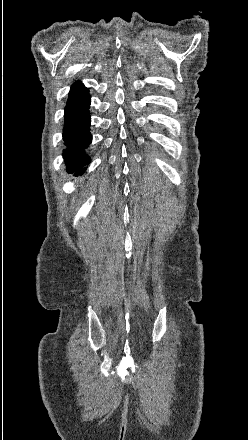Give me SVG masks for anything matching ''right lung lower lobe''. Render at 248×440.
Wrapping results in <instances>:
<instances>
[{
  "label": "right lung lower lobe",
  "mask_w": 248,
  "mask_h": 440,
  "mask_svg": "<svg viewBox=\"0 0 248 440\" xmlns=\"http://www.w3.org/2000/svg\"><path fill=\"white\" fill-rule=\"evenodd\" d=\"M90 95L88 90L81 83H76L71 87L67 105L65 107V125L63 139L67 148L63 151L64 159L67 164L68 173L75 172L82 174L83 168L90 162V158L85 154L83 148L88 147L92 141L90 134Z\"/></svg>",
  "instance_id": "right-lung-lower-lobe-1"
}]
</instances>
